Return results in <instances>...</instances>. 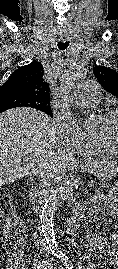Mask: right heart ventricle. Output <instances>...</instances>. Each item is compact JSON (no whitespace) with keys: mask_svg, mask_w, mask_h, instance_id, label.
<instances>
[{"mask_svg":"<svg viewBox=\"0 0 118 269\" xmlns=\"http://www.w3.org/2000/svg\"><path fill=\"white\" fill-rule=\"evenodd\" d=\"M88 152H94V153H116L113 149L105 145L104 143L100 141H94L91 145L87 146L85 148Z\"/></svg>","mask_w":118,"mask_h":269,"instance_id":"1","label":"right heart ventricle"}]
</instances>
